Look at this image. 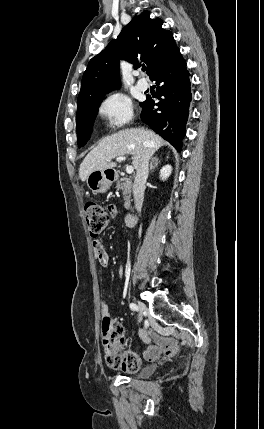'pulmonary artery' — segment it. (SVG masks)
Here are the masks:
<instances>
[{
	"label": "pulmonary artery",
	"mask_w": 264,
	"mask_h": 429,
	"mask_svg": "<svg viewBox=\"0 0 264 429\" xmlns=\"http://www.w3.org/2000/svg\"><path fill=\"white\" fill-rule=\"evenodd\" d=\"M136 86L139 90L145 91L148 89L149 84L145 79H139L136 83Z\"/></svg>",
	"instance_id": "obj_1"
}]
</instances>
